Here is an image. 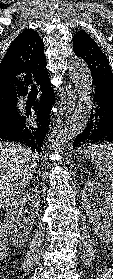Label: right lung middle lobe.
Listing matches in <instances>:
<instances>
[{
  "label": "right lung middle lobe",
  "instance_id": "dd1d6c3e",
  "mask_svg": "<svg viewBox=\"0 0 113 279\" xmlns=\"http://www.w3.org/2000/svg\"><path fill=\"white\" fill-rule=\"evenodd\" d=\"M17 112L18 110L16 108V104L4 109H0V124L12 120Z\"/></svg>",
  "mask_w": 113,
  "mask_h": 279
}]
</instances>
